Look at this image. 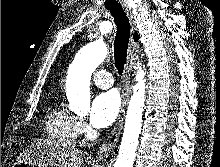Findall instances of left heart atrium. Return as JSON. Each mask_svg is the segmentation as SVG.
<instances>
[{
    "instance_id": "obj_1",
    "label": "left heart atrium",
    "mask_w": 220,
    "mask_h": 167,
    "mask_svg": "<svg viewBox=\"0 0 220 167\" xmlns=\"http://www.w3.org/2000/svg\"><path fill=\"white\" fill-rule=\"evenodd\" d=\"M120 97L110 90L99 94L93 101L90 122L95 128H106L111 125L120 109Z\"/></svg>"
}]
</instances>
